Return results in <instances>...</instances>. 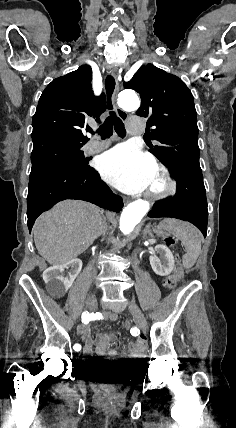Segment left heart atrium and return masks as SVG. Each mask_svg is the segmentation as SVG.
I'll return each instance as SVG.
<instances>
[{"instance_id":"left-heart-atrium-1","label":"left heart atrium","mask_w":236,"mask_h":428,"mask_svg":"<svg viewBox=\"0 0 236 428\" xmlns=\"http://www.w3.org/2000/svg\"><path fill=\"white\" fill-rule=\"evenodd\" d=\"M100 173L104 180L129 194L145 191L155 173L153 161L139 149L118 145L101 160Z\"/></svg>"}]
</instances>
